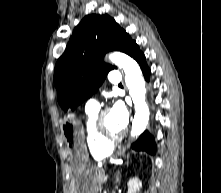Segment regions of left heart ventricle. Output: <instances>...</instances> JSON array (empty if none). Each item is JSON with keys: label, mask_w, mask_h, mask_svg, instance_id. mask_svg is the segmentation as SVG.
<instances>
[{"label": "left heart ventricle", "mask_w": 221, "mask_h": 193, "mask_svg": "<svg viewBox=\"0 0 221 193\" xmlns=\"http://www.w3.org/2000/svg\"><path fill=\"white\" fill-rule=\"evenodd\" d=\"M104 125L109 134L117 135L123 131L110 112H108L104 118Z\"/></svg>", "instance_id": "1"}]
</instances>
